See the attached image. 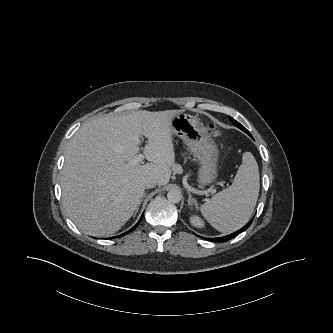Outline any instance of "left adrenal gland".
<instances>
[{"label":"left adrenal gland","mask_w":333,"mask_h":333,"mask_svg":"<svg viewBox=\"0 0 333 333\" xmlns=\"http://www.w3.org/2000/svg\"><path fill=\"white\" fill-rule=\"evenodd\" d=\"M189 197H188V206H192V205H195L197 206V201L196 199L192 198V195L189 191H187Z\"/></svg>","instance_id":"a2214340"}]
</instances>
